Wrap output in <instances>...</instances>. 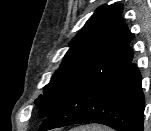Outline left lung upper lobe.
Returning <instances> with one entry per match:
<instances>
[{"mask_svg": "<svg viewBox=\"0 0 151 131\" xmlns=\"http://www.w3.org/2000/svg\"><path fill=\"white\" fill-rule=\"evenodd\" d=\"M122 11L118 3L98 8L73 38L62 65L44 86L43 95L35 100L40 117L49 116L91 68L110 69L132 60L129 43L134 35L123 22Z\"/></svg>", "mask_w": 151, "mask_h": 131, "instance_id": "1", "label": "left lung upper lobe"}]
</instances>
